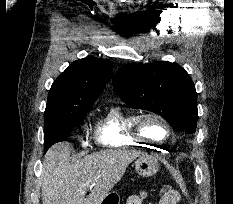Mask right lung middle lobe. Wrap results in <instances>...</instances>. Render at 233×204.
<instances>
[{"label":"right lung middle lobe","instance_id":"right-lung-middle-lobe-1","mask_svg":"<svg viewBox=\"0 0 233 204\" xmlns=\"http://www.w3.org/2000/svg\"><path fill=\"white\" fill-rule=\"evenodd\" d=\"M87 111L61 117L59 119L45 121V150L54 143L64 141L74 127L79 126L85 119Z\"/></svg>","mask_w":233,"mask_h":204}]
</instances>
